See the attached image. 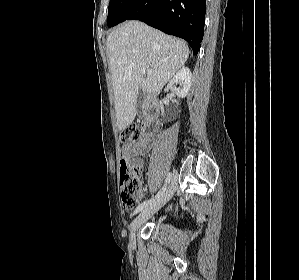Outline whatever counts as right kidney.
Instances as JSON below:
<instances>
[{"mask_svg":"<svg viewBox=\"0 0 299 280\" xmlns=\"http://www.w3.org/2000/svg\"><path fill=\"white\" fill-rule=\"evenodd\" d=\"M192 74L188 67L181 68L176 75L171 79L168 84V88L174 90L175 94L184 98L187 96L189 89L191 87ZM180 86L176 88V85Z\"/></svg>","mask_w":299,"mask_h":280,"instance_id":"obj_1","label":"right kidney"}]
</instances>
